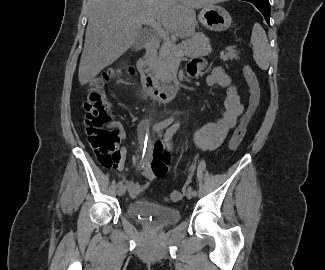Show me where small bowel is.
I'll return each instance as SVG.
<instances>
[{
	"label": "small bowel",
	"instance_id": "1",
	"mask_svg": "<svg viewBox=\"0 0 325 270\" xmlns=\"http://www.w3.org/2000/svg\"><path fill=\"white\" fill-rule=\"evenodd\" d=\"M200 68L201 61H193L189 67V76L197 78L200 74ZM207 84L210 86L218 85L227 89L225 109L218 120L198 128L194 132L193 139L198 148L202 150H214L223 142L228 132L237 124L238 118L244 112V106L240 101L236 87L222 68L214 67L212 69L207 77ZM117 127L121 139L124 140L126 137L124 127L121 124H117ZM119 151L121 158L115 168L122 169L126 152L124 148H121ZM151 159H153L152 163H150ZM169 161L170 155L163 149L162 145L155 146L152 155L148 158L150 165L143 170V176L149 181L157 177H162L167 172ZM125 183L133 197L138 196L149 187V183H138L129 179H125Z\"/></svg>",
	"mask_w": 325,
	"mask_h": 270
}]
</instances>
